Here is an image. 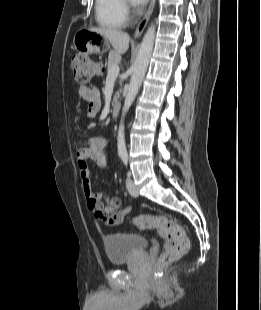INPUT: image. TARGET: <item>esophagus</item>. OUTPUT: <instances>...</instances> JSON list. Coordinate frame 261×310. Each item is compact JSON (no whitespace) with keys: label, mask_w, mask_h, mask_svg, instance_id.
<instances>
[{"label":"esophagus","mask_w":261,"mask_h":310,"mask_svg":"<svg viewBox=\"0 0 261 310\" xmlns=\"http://www.w3.org/2000/svg\"><path fill=\"white\" fill-rule=\"evenodd\" d=\"M155 1L156 0H151L150 5L148 7L147 12L145 13L144 17L142 18V20L139 22V24L136 27V30L134 32V38H138L141 36V34L143 33L149 18L153 12L154 6H155Z\"/></svg>","instance_id":"obj_1"}]
</instances>
